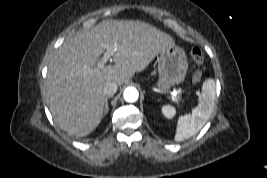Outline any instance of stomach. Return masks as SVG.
<instances>
[{"mask_svg":"<svg viewBox=\"0 0 267 178\" xmlns=\"http://www.w3.org/2000/svg\"><path fill=\"white\" fill-rule=\"evenodd\" d=\"M159 54L157 86L162 90H169L184 80L188 70L187 56L175 44L161 49Z\"/></svg>","mask_w":267,"mask_h":178,"instance_id":"obj_1","label":"stomach"}]
</instances>
